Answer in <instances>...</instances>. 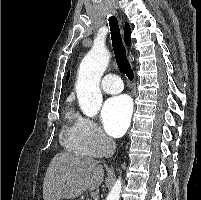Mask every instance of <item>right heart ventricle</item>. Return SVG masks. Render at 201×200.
Returning a JSON list of instances; mask_svg holds the SVG:
<instances>
[{
    "mask_svg": "<svg viewBox=\"0 0 201 200\" xmlns=\"http://www.w3.org/2000/svg\"><path fill=\"white\" fill-rule=\"evenodd\" d=\"M75 114L72 111H68L67 113V123L64 126L63 133H64V144L66 148L72 152L82 153L78 145V141L76 138L75 132Z\"/></svg>",
    "mask_w": 201,
    "mask_h": 200,
    "instance_id": "1",
    "label": "right heart ventricle"
}]
</instances>
